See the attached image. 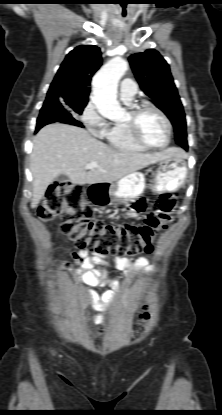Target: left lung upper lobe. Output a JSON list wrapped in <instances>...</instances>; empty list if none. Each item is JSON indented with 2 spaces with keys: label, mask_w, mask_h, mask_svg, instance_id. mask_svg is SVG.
Here are the masks:
<instances>
[{
  "label": "left lung upper lobe",
  "mask_w": 222,
  "mask_h": 415,
  "mask_svg": "<svg viewBox=\"0 0 222 415\" xmlns=\"http://www.w3.org/2000/svg\"><path fill=\"white\" fill-rule=\"evenodd\" d=\"M129 62L140 88L172 122L176 143L187 145L185 113L168 63L154 49L131 55Z\"/></svg>",
  "instance_id": "obj_1"
}]
</instances>
